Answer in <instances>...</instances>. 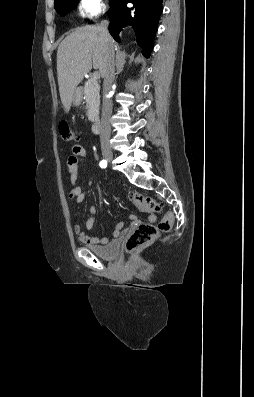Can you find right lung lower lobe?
Instances as JSON below:
<instances>
[{
    "instance_id": "98d812e1",
    "label": "right lung lower lobe",
    "mask_w": 254,
    "mask_h": 397,
    "mask_svg": "<svg viewBox=\"0 0 254 397\" xmlns=\"http://www.w3.org/2000/svg\"><path fill=\"white\" fill-rule=\"evenodd\" d=\"M128 2L133 4L132 8H127ZM110 5L109 32L112 37L120 42L123 28L131 30L142 46L143 55L149 57L162 13V0H112Z\"/></svg>"
}]
</instances>
